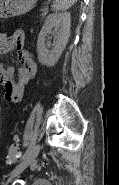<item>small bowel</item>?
Returning a JSON list of instances; mask_svg holds the SVG:
<instances>
[{
  "label": "small bowel",
  "instance_id": "small-bowel-1",
  "mask_svg": "<svg viewBox=\"0 0 119 185\" xmlns=\"http://www.w3.org/2000/svg\"><path fill=\"white\" fill-rule=\"evenodd\" d=\"M25 34L22 30H15L11 34H1L0 53L6 54L17 49L21 67L18 70L17 81H13V69L5 65L0 66V83L4 98L11 102H19L25 93L26 84L35 76L37 66L29 51L24 49ZM9 82V85L6 84Z\"/></svg>",
  "mask_w": 119,
  "mask_h": 185
}]
</instances>
